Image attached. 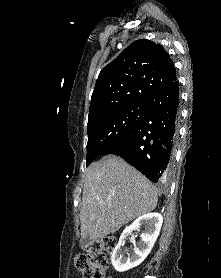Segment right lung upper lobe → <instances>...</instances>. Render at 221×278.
I'll use <instances>...</instances> for the list:
<instances>
[{"instance_id":"obj_1","label":"right lung upper lobe","mask_w":221,"mask_h":278,"mask_svg":"<svg viewBox=\"0 0 221 278\" xmlns=\"http://www.w3.org/2000/svg\"><path fill=\"white\" fill-rule=\"evenodd\" d=\"M176 79L174 64L164 48L150 40H137L101 70L88 120L133 102L146 101L150 94Z\"/></svg>"}]
</instances>
